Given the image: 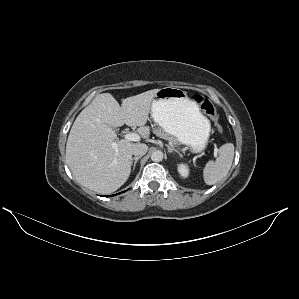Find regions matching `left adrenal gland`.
Wrapping results in <instances>:
<instances>
[{"instance_id":"left-adrenal-gland-1","label":"left adrenal gland","mask_w":299,"mask_h":299,"mask_svg":"<svg viewBox=\"0 0 299 299\" xmlns=\"http://www.w3.org/2000/svg\"><path fill=\"white\" fill-rule=\"evenodd\" d=\"M168 152L169 153L175 152V153H177V154H179L181 156V154L177 150L171 148L170 146H168Z\"/></svg>"}]
</instances>
